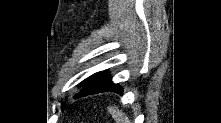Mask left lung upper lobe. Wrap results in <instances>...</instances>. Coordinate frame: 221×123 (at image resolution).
Listing matches in <instances>:
<instances>
[{"label": "left lung upper lobe", "mask_w": 221, "mask_h": 123, "mask_svg": "<svg viewBox=\"0 0 221 123\" xmlns=\"http://www.w3.org/2000/svg\"><path fill=\"white\" fill-rule=\"evenodd\" d=\"M96 74L92 75L91 77H89L88 79H85L82 83H86L87 81H89L90 78L94 77Z\"/></svg>", "instance_id": "5c2ea615"}]
</instances>
